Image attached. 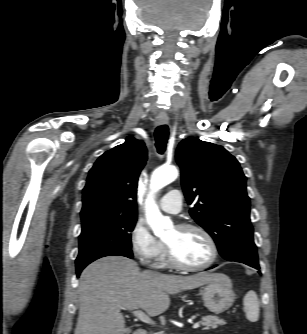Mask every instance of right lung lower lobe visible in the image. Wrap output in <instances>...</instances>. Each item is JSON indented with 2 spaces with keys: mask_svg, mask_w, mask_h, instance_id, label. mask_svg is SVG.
<instances>
[{
  "mask_svg": "<svg viewBox=\"0 0 307 334\" xmlns=\"http://www.w3.org/2000/svg\"><path fill=\"white\" fill-rule=\"evenodd\" d=\"M119 256H124V255H119ZM82 270L83 269H77V277H79V275H80V273H81Z\"/></svg>",
  "mask_w": 307,
  "mask_h": 334,
  "instance_id": "obj_1",
  "label": "right lung lower lobe"
}]
</instances>
